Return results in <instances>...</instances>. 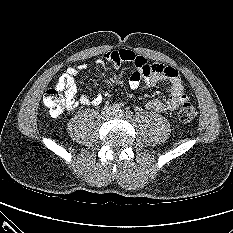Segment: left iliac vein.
Masks as SVG:
<instances>
[{"instance_id": "left-iliac-vein-1", "label": "left iliac vein", "mask_w": 233, "mask_h": 233, "mask_svg": "<svg viewBox=\"0 0 233 233\" xmlns=\"http://www.w3.org/2000/svg\"><path fill=\"white\" fill-rule=\"evenodd\" d=\"M115 116L118 117V118H121L124 116L123 112L122 111H119L117 113H115Z\"/></svg>"}]
</instances>
